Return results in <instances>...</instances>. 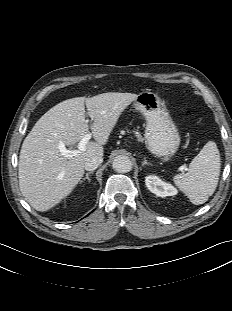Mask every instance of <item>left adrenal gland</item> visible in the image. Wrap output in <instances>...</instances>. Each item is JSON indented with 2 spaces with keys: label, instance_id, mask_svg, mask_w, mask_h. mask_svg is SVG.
<instances>
[{
  "label": "left adrenal gland",
  "instance_id": "left-adrenal-gland-1",
  "mask_svg": "<svg viewBox=\"0 0 232 311\" xmlns=\"http://www.w3.org/2000/svg\"><path fill=\"white\" fill-rule=\"evenodd\" d=\"M144 165H152V164L147 162L146 158H144V161L142 162V166H144Z\"/></svg>",
  "mask_w": 232,
  "mask_h": 311
}]
</instances>
